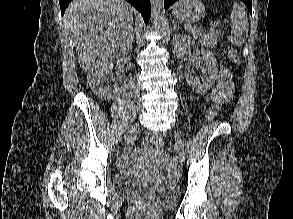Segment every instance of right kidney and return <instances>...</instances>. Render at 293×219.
I'll return each mask as SVG.
<instances>
[{"mask_svg": "<svg viewBox=\"0 0 293 219\" xmlns=\"http://www.w3.org/2000/svg\"><path fill=\"white\" fill-rule=\"evenodd\" d=\"M115 61L113 58H101L90 68L87 80L91 90L100 98L110 101L117 92L115 82L109 84L105 80V75L113 69Z\"/></svg>", "mask_w": 293, "mask_h": 219, "instance_id": "right-kidney-1", "label": "right kidney"}]
</instances>
